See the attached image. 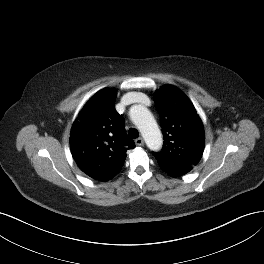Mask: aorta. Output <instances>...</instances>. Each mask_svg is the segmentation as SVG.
Wrapping results in <instances>:
<instances>
[{
	"label": "aorta",
	"instance_id": "1",
	"mask_svg": "<svg viewBox=\"0 0 264 264\" xmlns=\"http://www.w3.org/2000/svg\"><path fill=\"white\" fill-rule=\"evenodd\" d=\"M130 117L140 130L149 149L156 151L162 147V134L151 112L142 105L130 109Z\"/></svg>",
	"mask_w": 264,
	"mask_h": 264
}]
</instances>
